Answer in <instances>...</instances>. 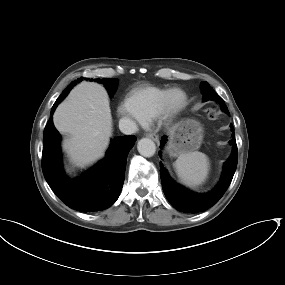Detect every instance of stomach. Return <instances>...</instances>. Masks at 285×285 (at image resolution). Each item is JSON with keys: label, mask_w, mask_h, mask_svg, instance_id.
<instances>
[{"label": "stomach", "mask_w": 285, "mask_h": 285, "mask_svg": "<svg viewBox=\"0 0 285 285\" xmlns=\"http://www.w3.org/2000/svg\"><path fill=\"white\" fill-rule=\"evenodd\" d=\"M170 139L167 151L170 156L197 150L203 139V128L201 124L193 119H186L175 124L169 131Z\"/></svg>", "instance_id": "0dacf381"}]
</instances>
